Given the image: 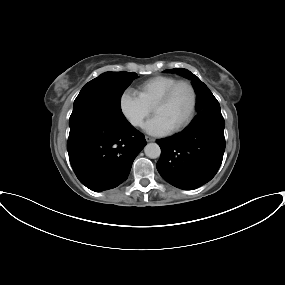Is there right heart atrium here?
Instances as JSON below:
<instances>
[{"label": "right heart atrium", "mask_w": 285, "mask_h": 285, "mask_svg": "<svg viewBox=\"0 0 285 285\" xmlns=\"http://www.w3.org/2000/svg\"><path fill=\"white\" fill-rule=\"evenodd\" d=\"M119 110L125 120L133 127L139 128L149 117L152 109L132 90H124L119 97Z\"/></svg>", "instance_id": "right-heart-atrium-1"}]
</instances>
